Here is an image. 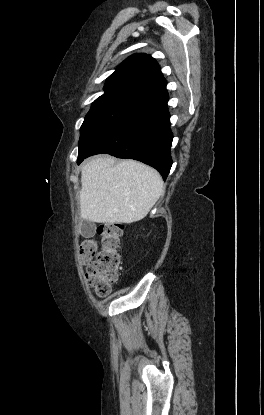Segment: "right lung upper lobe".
<instances>
[{
  "mask_svg": "<svg viewBox=\"0 0 264 415\" xmlns=\"http://www.w3.org/2000/svg\"><path fill=\"white\" fill-rule=\"evenodd\" d=\"M158 63L149 55L133 54L106 80L104 95L120 94L147 100L167 92Z\"/></svg>",
  "mask_w": 264,
  "mask_h": 415,
  "instance_id": "cb5924a9",
  "label": "right lung upper lobe"
}]
</instances>
